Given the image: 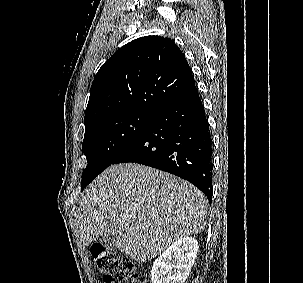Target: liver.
<instances>
[{
	"label": "liver",
	"instance_id": "6515ba94",
	"mask_svg": "<svg viewBox=\"0 0 303 283\" xmlns=\"http://www.w3.org/2000/svg\"><path fill=\"white\" fill-rule=\"evenodd\" d=\"M80 240L114 235L136 261L151 260L182 237L202 232L207 200L189 182L147 166L108 167L81 195L76 211Z\"/></svg>",
	"mask_w": 303,
	"mask_h": 283
}]
</instances>
